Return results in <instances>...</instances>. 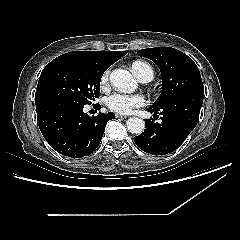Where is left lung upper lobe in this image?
<instances>
[{"instance_id":"left-lung-upper-lobe-1","label":"left lung upper lobe","mask_w":240,"mask_h":240,"mask_svg":"<svg viewBox=\"0 0 240 240\" xmlns=\"http://www.w3.org/2000/svg\"><path fill=\"white\" fill-rule=\"evenodd\" d=\"M154 61L162 74V93L152 108H159L177 96L203 89L200 72L194 61L183 52L170 47L138 51Z\"/></svg>"}]
</instances>
